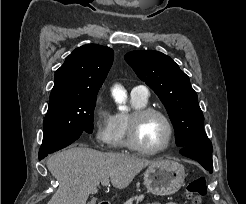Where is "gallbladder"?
<instances>
[{
    "label": "gallbladder",
    "mask_w": 246,
    "mask_h": 204,
    "mask_svg": "<svg viewBox=\"0 0 246 204\" xmlns=\"http://www.w3.org/2000/svg\"><path fill=\"white\" fill-rule=\"evenodd\" d=\"M88 204H94V202L93 201H90V202H88Z\"/></svg>",
    "instance_id": "obj_1"
}]
</instances>
